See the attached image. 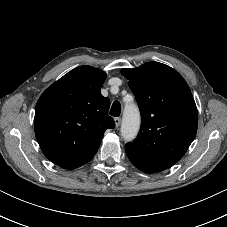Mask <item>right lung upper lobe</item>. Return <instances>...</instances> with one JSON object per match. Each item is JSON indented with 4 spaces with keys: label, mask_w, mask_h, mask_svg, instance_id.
Segmentation results:
<instances>
[{
    "label": "right lung upper lobe",
    "mask_w": 227,
    "mask_h": 227,
    "mask_svg": "<svg viewBox=\"0 0 227 227\" xmlns=\"http://www.w3.org/2000/svg\"><path fill=\"white\" fill-rule=\"evenodd\" d=\"M106 73L77 67L47 88L35 109V135L44 155L54 164L74 169L96 154L104 132L114 128L108 116L110 100L100 89Z\"/></svg>",
    "instance_id": "right-lung-upper-lobe-1"
}]
</instances>
